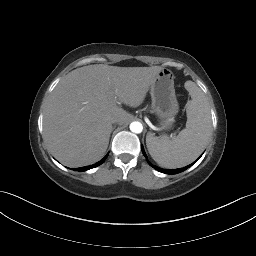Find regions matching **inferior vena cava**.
<instances>
[{
    "label": "inferior vena cava",
    "instance_id": "1",
    "mask_svg": "<svg viewBox=\"0 0 256 256\" xmlns=\"http://www.w3.org/2000/svg\"><path fill=\"white\" fill-rule=\"evenodd\" d=\"M112 122L113 123H118L119 122V118L118 117H113L112 118Z\"/></svg>",
    "mask_w": 256,
    "mask_h": 256
}]
</instances>
